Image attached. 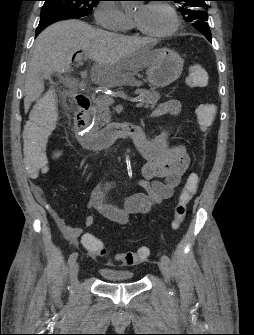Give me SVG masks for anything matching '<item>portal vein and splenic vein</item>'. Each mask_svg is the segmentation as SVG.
<instances>
[{
  "label": "portal vein and splenic vein",
  "instance_id": "18ae733b",
  "mask_svg": "<svg viewBox=\"0 0 254 335\" xmlns=\"http://www.w3.org/2000/svg\"><path fill=\"white\" fill-rule=\"evenodd\" d=\"M81 59H82V54H77V55H76V60H77V61H81ZM100 100H102L103 103L106 104V105H112V104L115 102L114 98L111 97V96H109V95H102V96L100 97ZM133 102H136L135 106H136L137 108H140V107L143 106V103H142V100H141V99H136V100H134Z\"/></svg>",
  "mask_w": 254,
  "mask_h": 335
}]
</instances>
